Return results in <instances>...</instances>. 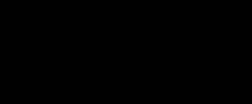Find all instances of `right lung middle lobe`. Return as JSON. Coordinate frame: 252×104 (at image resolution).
<instances>
[{
    "label": "right lung middle lobe",
    "mask_w": 252,
    "mask_h": 104,
    "mask_svg": "<svg viewBox=\"0 0 252 104\" xmlns=\"http://www.w3.org/2000/svg\"><path fill=\"white\" fill-rule=\"evenodd\" d=\"M111 24L109 18L97 16H81L65 24L45 40L37 69L42 71L52 57L65 55L90 72L106 76L101 49Z\"/></svg>",
    "instance_id": "1"
}]
</instances>
